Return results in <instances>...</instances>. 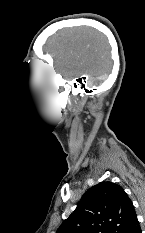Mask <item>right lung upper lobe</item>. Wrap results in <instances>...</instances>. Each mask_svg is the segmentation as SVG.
Returning a JSON list of instances; mask_svg holds the SVG:
<instances>
[{
	"label": "right lung upper lobe",
	"instance_id": "1",
	"mask_svg": "<svg viewBox=\"0 0 145 233\" xmlns=\"http://www.w3.org/2000/svg\"><path fill=\"white\" fill-rule=\"evenodd\" d=\"M136 213L120 185L101 182L86 191L56 233H126Z\"/></svg>",
	"mask_w": 145,
	"mask_h": 233
}]
</instances>
